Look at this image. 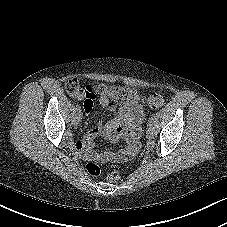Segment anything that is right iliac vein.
I'll use <instances>...</instances> for the list:
<instances>
[{
	"label": "right iliac vein",
	"mask_w": 227,
	"mask_h": 227,
	"mask_svg": "<svg viewBox=\"0 0 227 227\" xmlns=\"http://www.w3.org/2000/svg\"><path fill=\"white\" fill-rule=\"evenodd\" d=\"M81 117V112H77L73 117L72 124L77 125L80 122Z\"/></svg>",
	"instance_id": "63e3f726"
}]
</instances>
